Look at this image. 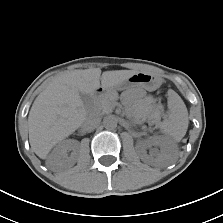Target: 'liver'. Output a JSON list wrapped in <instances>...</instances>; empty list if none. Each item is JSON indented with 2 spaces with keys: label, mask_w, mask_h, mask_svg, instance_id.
<instances>
[{
  "label": "liver",
  "mask_w": 223,
  "mask_h": 223,
  "mask_svg": "<svg viewBox=\"0 0 223 223\" xmlns=\"http://www.w3.org/2000/svg\"><path fill=\"white\" fill-rule=\"evenodd\" d=\"M133 70L102 73L99 68L63 73L35 99L28 117L29 142L32 150L45 159L50 150L74 133L87 119L80 93L93 95L97 89H110L127 81ZM101 80V84H100Z\"/></svg>",
  "instance_id": "obj_1"
}]
</instances>
